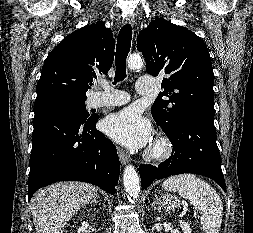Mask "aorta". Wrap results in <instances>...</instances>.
<instances>
[{"label": "aorta", "instance_id": "1", "mask_svg": "<svg viewBox=\"0 0 253 233\" xmlns=\"http://www.w3.org/2000/svg\"><path fill=\"white\" fill-rule=\"evenodd\" d=\"M143 66V60L139 55H131L128 58V67L131 70L139 69ZM124 188L130 202H135L139 197L140 179L134 166H126L123 173Z\"/></svg>", "mask_w": 253, "mask_h": 233}]
</instances>
